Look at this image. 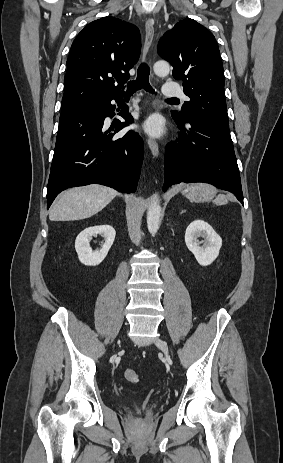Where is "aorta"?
Segmentation results:
<instances>
[{
	"label": "aorta",
	"mask_w": 283,
	"mask_h": 463,
	"mask_svg": "<svg viewBox=\"0 0 283 463\" xmlns=\"http://www.w3.org/2000/svg\"><path fill=\"white\" fill-rule=\"evenodd\" d=\"M154 73L158 76H166L170 71L169 64L165 61H158L153 66ZM161 206L158 198L155 195L147 214V227L152 235H155L159 229L160 217H161Z\"/></svg>",
	"instance_id": "762f6f07"
}]
</instances>
